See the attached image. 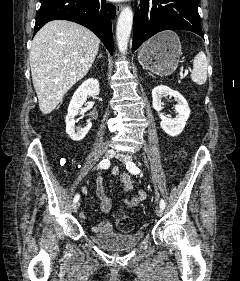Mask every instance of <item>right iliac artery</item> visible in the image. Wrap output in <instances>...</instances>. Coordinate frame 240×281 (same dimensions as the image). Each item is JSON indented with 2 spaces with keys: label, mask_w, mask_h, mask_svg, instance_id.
Listing matches in <instances>:
<instances>
[{
  "label": "right iliac artery",
  "mask_w": 240,
  "mask_h": 281,
  "mask_svg": "<svg viewBox=\"0 0 240 281\" xmlns=\"http://www.w3.org/2000/svg\"><path fill=\"white\" fill-rule=\"evenodd\" d=\"M109 166H110V161L108 159H103L102 161H100L98 165V167L101 169H107ZM79 199H80V195L76 194L73 199V202L76 203L79 201Z\"/></svg>",
  "instance_id": "right-iliac-artery-1"
}]
</instances>
